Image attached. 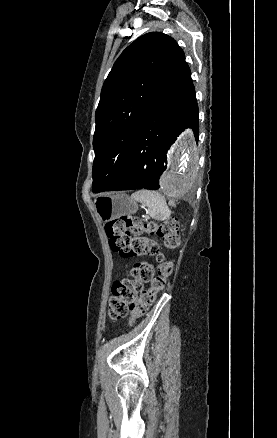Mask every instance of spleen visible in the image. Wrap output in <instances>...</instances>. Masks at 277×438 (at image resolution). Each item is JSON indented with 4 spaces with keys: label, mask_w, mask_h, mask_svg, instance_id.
I'll list each match as a JSON object with an SVG mask.
<instances>
[{
    "label": "spleen",
    "mask_w": 277,
    "mask_h": 438,
    "mask_svg": "<svg viewBox=\"0 0 277 438\" xmlns=\"http://www.w3.org/2000/svg\"><path fill=\"white\" fill-rule=\"evenodd\" d=\"M131 198L144 204L148 208L149 216L155 220H167L172 212L169 210L164 196L159 192H150V190H139L132 194Z\"/></svg>",
    "instance_id": "spleen-1"
}]
</instances>
